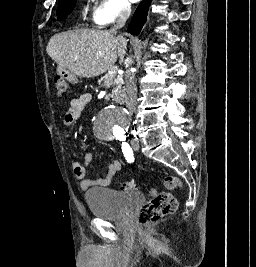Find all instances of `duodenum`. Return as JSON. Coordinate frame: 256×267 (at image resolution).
Segmentation results:
<instances>
[{
  "label": "duodenum",
  "instance_id": "duodenum-1",
  "mask_svg": "<svg viewBox=\"0 0 256 267\" xmlns=\"http://www.w3.org/2000/svg\"><path fill=\"white\" fill-rule=\"evenodd\" d=\"M58 75H60V79H68V82H73L74 86H79V77H76L75 74H71V70H67V66H58ZM113 100H116V97H113ZM118 104H123V99L117 100Z\"/></svg>",
  "mask_w": 256,
  "mask_h": 267
}]
</instances>
